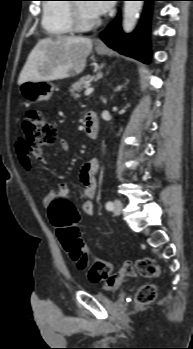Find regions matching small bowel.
Instances as JSON below:
<instances>
[{"label":"small bowel","mask_w":193,"mask_h":349,"mask_svg":"<svg viewBox=\"0 0 193 349\" xmlns=\"http://www.w3.org/2000/svg\"><path fill=\"white\" fill-rule=\"evenodd\" d=\"M62 151L67 152L69 150V144L66 140L61 139L59 141ZM16 151L21 166L26 171H32L33 165L30 154L27 152L23 139H19L16 143ZM99 171V162L96 158H92L85 162L79 173V180L81 183V208L86 215H93L94 213V198L96 194V176ZM73 194L72 189L66 184H60L58 190L51 191L43 198V204L49 206V204L57 198L69 199ZM136 275V269L130 261H126L123 266L116 272L112 273L107 279V286L115 288L119 286L126 278L134 277Z\"/></svg>","instance_id":"1"}]
</instances>
